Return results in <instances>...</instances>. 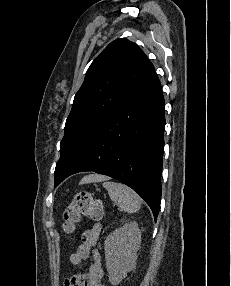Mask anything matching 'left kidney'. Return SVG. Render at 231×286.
<instances>
[{
	"mask_svg": "<svg viewBox=\"0 0 231 286\" xmlns=\"http://www.w3.org/2000/svg\"><path fill=\"white\" fill-rule=\"evenodd\" d=\"M141 231L136 222H129L113 231L105 240V259L109 281L119 284L135 268Z\"/></svg>",
	"mask_w": 231,
	"mask_h": 286,
	"instance_id": "1",
	"label": "left kidney"
}]
</instances>
